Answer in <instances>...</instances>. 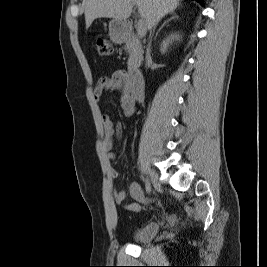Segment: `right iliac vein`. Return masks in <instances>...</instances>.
Returning a JSON list of instances; mask_svg holds the SVG:
<instances>
[{
	"label": "right iliac vein",
	"mask_w": 267,
	"mask_h": 267,
	"mask_svg": "<svg viewBox=\"0 0 267 267\" xmlns=\"http://www.w3.org/2000/svg\"><path fill=\"white\" fill-rule=\"evenodd\" d=\"M147 174H148V177H149L150 181L152 182L153 186L157 189H160L161 183L159 181L158 176L155 174V172H153L152 170H148Z\"/></svg>",
	"instance_id": "63e3f726"
}]
</instances>
